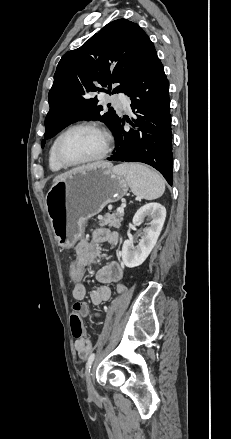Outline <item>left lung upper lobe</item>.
I'll return each instance as SVG.
<instances>
[{"instance_id":"obj_1","label":"left lung upper lobe","mask_w":231,"mask_h":439,"mask_svg":"<svg viewBox=\"0 0 231 439\" xmlns=\"http://www.w3.org/2000/svg\"><path fill=\"white\" fill-rule=\"evenodd\" d=\"M148 35L131 21L107 24L81 47L64 54L49 91L50 110L45 119V140L80 120H99L114 133L120 117L111 108L101 114L97 94L124 92L153 47ZM119 84L111 91V84ZM106 87L108 91L100 88ZM95 96V97H94Z\"/></svg>"}]
</instances>
